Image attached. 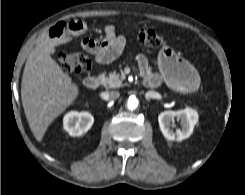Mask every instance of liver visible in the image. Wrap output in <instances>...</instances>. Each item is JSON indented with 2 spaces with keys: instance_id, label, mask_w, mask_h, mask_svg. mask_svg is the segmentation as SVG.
Wrapping results in <instances>:
<instances>
[{
  "instance_id": "obj_1",
  "label": "liver",
  "mask_w": 245,
  "mask_h": 195,
  "mask_svg": "<svg viewBox=\"0 0 245 195\" xmlns=\"http://www.w3.org/2000/svg\"><path fill=\"white\" fill-rule=\"evenodd\" d=\"M46 40L29 54L21 83V100L29 127L41 142L48 126L78 97L79 87L51 57L53 48L71 41Z\"/></svg>"
}]
</instances>
